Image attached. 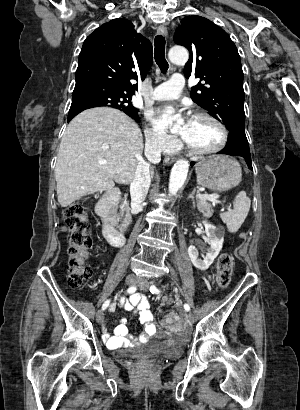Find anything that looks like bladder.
Instances as JSON below:
<instances>
[{
	"instance_id": "obj_1",
	"label": "bladder",
	"mask_w": 300,
	"mask_h": 410,
	"mask_svg": "<svg viewBox=\"0 0 300 410\" xmlns=\"http://www.w3.org/2000/svg\"><path fill=\"white\" fill-rule=\"evenodd\" d=\"M184 345L177 342L165 341L156 345H148L142 349L134 351L135 355L144 357H179L182 355ZM128 351H132L129 349Z\"/></svg>"
}]
</instances>
